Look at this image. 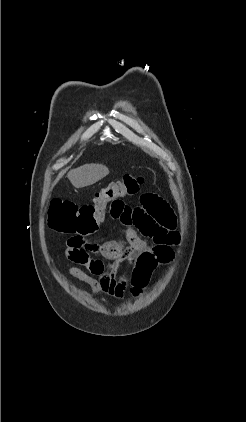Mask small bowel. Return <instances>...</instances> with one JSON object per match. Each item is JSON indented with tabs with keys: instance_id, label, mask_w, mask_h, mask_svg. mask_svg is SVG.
Returning <instances> with one entry per match:
<instances>
[{
	"instance_id": "c3829d8e",
	"label": "small bowel",
	"mask_w": 246,
	"mask_h": 422,
	"mask_svg": "<svg viewBox=\"0 0 246 422\" xmlns=\"http://www.w3.org/2000/svg\"><path fill=\"white\" fill-rule=\"evenodd\" d=\"M110 216L123 225L125 242L108 240L98 243L82 235L71 237L65 255L76 265L68 267L67 273L92 289L93 294L88 296L105 294L123 299L131 284L135 258L141 252L156 247L172 251L171 246L179 242V233L173 210L154 193L144 194L138 207L131 208L123 204L121 208H112ZM137 230L150 238L154 245L141 239ZM122 263L127 266V271L123 273L120 272Z\"/></svg>"
}]
</instances>
